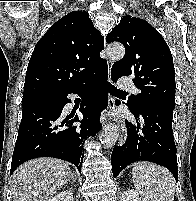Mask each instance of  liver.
Masks as SVG:
<instances>
[{"instance_id":"6515ba94","label":"liver","mask_w":196,"mask_h":201,"mask_svg":"<svg viewBox=\"0 0 196 201\" xmlns=\"http://www.w3.org/2000/svg\"><path fill=\"white\" fill-rule=\"evenodd\" d=\"M70 178L67 162L54 158L29 160L12 175L13 201H48Z\"/></svg>"}]
</instances>
